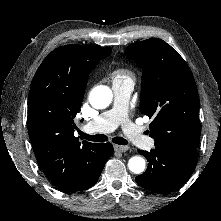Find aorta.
<instances>
[{
	"label": "aorta",
	"mask_w": 221,
	"mask_h": 221,
	"mask_svg": "<svg viewBox=\"0 0 221 221\" xmlns=\"http://www.w3.org/2000/svg\"><path fill=\"white\" fill-rule=\"evenodd\" d=\"M112 91L107 86L95 87L89 97L90 104L96 109H104L112 101ZM146 166L145 159L140 156H133L128 161V168L135 174H141L144 172Z\"/></svg>",
	"instance_id": "obj_1"
}]
</instances>
